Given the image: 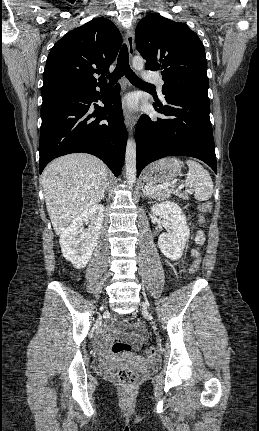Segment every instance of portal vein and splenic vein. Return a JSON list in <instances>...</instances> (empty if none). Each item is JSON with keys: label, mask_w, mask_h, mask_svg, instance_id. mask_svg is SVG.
<instances>
[{"label": "portal vein and splenic vein", "mask_w": 259, "mask_h": 431, "mask_svg": "<svg viewBox=\"0 0 259 431\" xmlns=\"http://www.w3.org/2000/svg\"><path fill=\"white\" fill-rule=\"evenodd\" d=\"M169 185L170 184L165 183V184L159 185L158 187H155V188H147V192H148V194H151V193H153L159 189H166ZM189 192L192 193L193 191H189Z\"/></svg>", "instance_id": "obj_1"}]
</instances>
